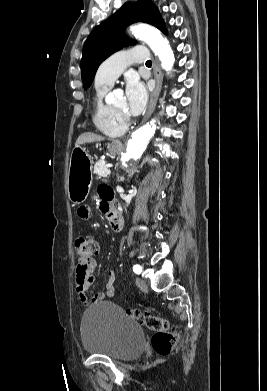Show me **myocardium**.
I'll list each match as a JSON object with an SVG mask.
<instances>
[{"label":"myocardium","instance_id":"myocardium-1","mask_svg":"<svg viewBox=\"0 0 267 391\" xmlns=\"http://www.w3.org/2000/svg\"><path fill=\"white\" fill-rule=\"evenodd\" d=\"M110 109H111V111H112L114 117H115L121 124H123V125L126 126V125L130 122V117H129L126 113H124V112H122V111H120V110L114 108L113 106H110Z\"/></svg>","mask_w":267,"mask_h":391}]
</instances>
